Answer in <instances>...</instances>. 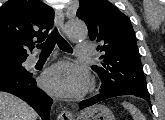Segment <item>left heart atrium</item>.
<instances>
[{"mask_svg": "<svg viewBox=\"0 0 165 120\" xmlns=\"http://www.w3.org/2000/svg\"><path fill=\"white\" fill-rule=\"evenodd\" d=\"M88 82V73L83 67L65 61L51 66L41 76L43 88L60 97L81 94Z\"/></svg>", "mask_w": 165, "mask_h": 120, "instance_id": "39dd6f15", "label": "left heart atrium"}]
</instances>
